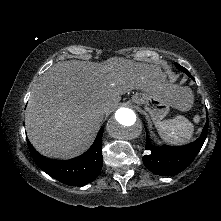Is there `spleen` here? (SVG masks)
<instances>
[{
    "instance_id": "obj_1",
    "label": "spleen",
    "mask_w": 221,
    "mask_h": 221,
    "mask_svg": "<svg viewBox=\"0 0 221 221\" xmlns=\"http://www.w3.org/2000/svg\"><path fill=\"white\" fill-rule=\"evenodd\" d=\"M199 120L195 117V121ZM160 137L170 144H183L192 139L193 124L183 116L155 123Z\"/></svg>"
}]
</instances>
